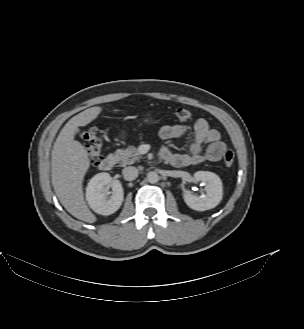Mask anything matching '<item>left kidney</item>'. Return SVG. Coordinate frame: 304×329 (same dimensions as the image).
<instances>
[{"label": "left kidney", "instance_id": "5707ae66", "mask_svg": "<svg viewBox=\"0 0 304 329\" xmlns=\"http://www.w3.org/2000/svg\"><path fill=\"white\" fill-rule=\"evenodd\" d=\"M196 181L205 183V194L196 196L190 191L183 193L185 203L193 210L205 211L216 207L223 196L222 181L218 175L209 171H197L194 173Z\"/></svg>", "mask_w": 304, "mask_h": 329}]
</instances>
